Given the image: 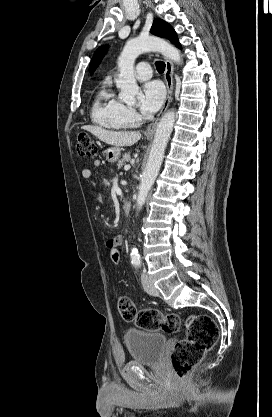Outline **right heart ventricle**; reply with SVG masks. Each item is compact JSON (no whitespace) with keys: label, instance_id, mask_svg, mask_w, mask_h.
Returning a JSON list of instances; mask_svg holds the SVG:
<instances>
[{"label":"right heart ventricle","instance_id":"obj_1","mask_svg":"<svg viewBox=\"0 0 272 417\" xmlns=\"http://www.w3.org/2000/svg\"><path fill=\"white\" fill-rule=\"evenodd\" d=\"M122 104L114 97L109 86L103 85L98 91L91 111L92 121L109 130H122L130 126L123 118Z\"/></svg>","mask_w":272,"mask_h":417}]
</instances>
